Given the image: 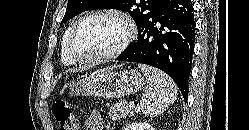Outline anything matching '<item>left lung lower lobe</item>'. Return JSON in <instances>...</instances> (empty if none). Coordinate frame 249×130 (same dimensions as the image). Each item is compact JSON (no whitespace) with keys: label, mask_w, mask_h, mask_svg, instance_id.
Masks as SVG:
<instances>
[{"label":"left lung lower lobe","mask_w":249,"mask_h":130,"mask_svg":"<svg viewBox=\"0 0 249 130\" xmlns=\"http://www.w3.org/2000/svg\"><path fill=\"white\" fill-rule=\"evenodd\" d=\"M195 41V21L190 0H162L138 29V39L118 57L154 66L166 72L188 98Z\"/></svg>","instance_id":"obj_1"}]
</instances>
